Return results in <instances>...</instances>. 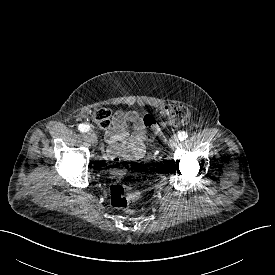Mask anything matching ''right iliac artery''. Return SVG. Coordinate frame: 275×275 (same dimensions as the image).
<instances>
[{"label":"right iliac artery","instance_id":"right-iliac-artery-1","mask_svg":"<svg viewBox=\"0 0 275 275\" xmlns=\"http://www.w3.org/2000/svg\"><path fill=\"white\" fill-rule=\"evenodd\" d=\"M78 129L81 131V132H87L90 130V126L87 125V124H80L78 126Z\"/></svg>","mask_w":275,"mask_h":275}]
</instances>
